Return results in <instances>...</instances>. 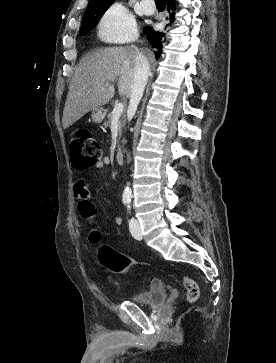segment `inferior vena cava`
<instances>
[{"label": "inferior vena cava", "instance_id": "obj_1", "mask_svg": "<svg viewBox=\"0 0 276 363\" xmlns=\"http://www.w3.org/2000/svg\"><path fill=\"white\" fill-rule=\"evenodd\" d=\"M149 71L150 65L146 57L141 54L138 55L135 62L134 78L127 112L129 116H133L137 110L147 84Z\"/></svg>", "mask_w": 276, "mask_h": 363}]
</instances>
